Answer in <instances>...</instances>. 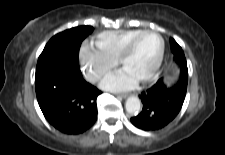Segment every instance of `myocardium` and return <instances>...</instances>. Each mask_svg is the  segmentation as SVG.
Returning a JSON list of instances; mask_svg holds the SVG:
<instances>
[{"label": "myocardium", "instance_id": "myocardium-1", "mask_svg": "<svg viewBox=\"0 0 225 155\" xmlns=\"http://www.w3.org/2000/svg\"><path fill=\"white\" fill-rule=\"evenodd\" d=\"M146 34H154L159 38V40H160V51H159V55H158V58L156 60V63L154 64L151 71L145 77H143L140 80L143 83L151 80L157 74V72L159 71V69L162 65V62H163V59H164V54H165V41H164L163 36L156 30H152V29L141 30L140 32H138L137 34H135L133 37H131L128 40V42L124 45V47L121 50L120 55L118 57V63L123 66V63H124L125 59L130 55V53L134 49L137 41L142 36H144Z\"/></svg>", "mask_w": 225, "mask_h": 155}]
</instances>
